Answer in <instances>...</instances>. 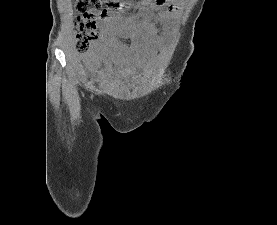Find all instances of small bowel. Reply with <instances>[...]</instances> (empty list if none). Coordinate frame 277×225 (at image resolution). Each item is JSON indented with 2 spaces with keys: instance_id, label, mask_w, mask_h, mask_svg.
<instances>
[{
  "instance_id": "small-bowel-1",
  "label": "small bowel",
  "mask_w": 277,
  "mask_h": 225,
  "mask_svg": "<svg viewBox=\"0 0 277 225\" xmlns=\"http://www.w3.org/2000/svg\"><path fill=\"white\" fill-rule=\"evenodd\" d=\"M157 8L156 13L145 10L137 19H127L121 10L100 17L98 51L83 58L85 69L93 80L105 83L114 67L124 69L138 64L161 49L178 15V6L165 0ZM121 35L130 36L131 43L120 42Z\"/></svg>"
}]
</instances>
